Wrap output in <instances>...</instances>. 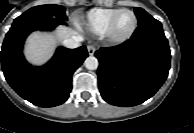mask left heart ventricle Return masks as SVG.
Segmentation results:
<instances>
[{
	"mask_svg": "<svg viewBox=\"0 0 194 133\" xmlns=\"http://www.w3.org/2000/svg\"><path fill=\"white\" fill-rule=\"evenodd\" d=\"M134 23L133 16L128 12L121 13L115 21L113 33L116 36L126 35L132 28Z\"/></svg>",
	"mask_w": 194,
	"mask_h": 133,
	"instance_id": "1",
	"label": "left heart ventricle"
}]
</instances>
